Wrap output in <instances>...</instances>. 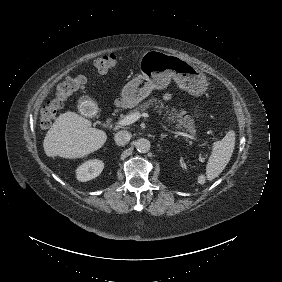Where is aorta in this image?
Segmentation results:
<instances>
[{
  "label": "aorta",
  "mask_w": 282,
  "mask_h": 282,
  "mask_svg": "<svg viewBox=\"0 0 282 282\" xmlns=\"http://www.w3.org/2000/svg\"><path fill=\"white\" fill-rule=\"evenodd\" d=\"M150 141L145 138H140L135 142V148L140 153H147L150 150Z\"/></svg>",
  "instance_id": "aorta-1"
}]
</instances>
